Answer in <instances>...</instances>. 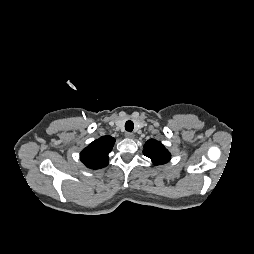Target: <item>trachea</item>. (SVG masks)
Wrapping results in <instances>:
<instances>
[{
	"label": "trachea",
	"mask_w": 254,
	"mask_h": 254,
	"mask_svg": "<svg viewBox=\"0 0 254 254\" xmlns=\"http://www.w3.org/2000/svg\"><path fill=\"white\" fill-rule=\"evenodd\" d=\"M133 128H134V124L132 121H127L125 123V129L128 131V132H132L133 131Z\"/></svg>",
	"instance_id": "obj_1"
}]
</instances>
